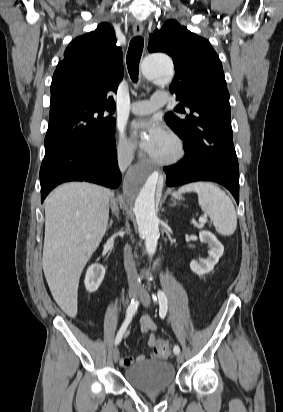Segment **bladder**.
<instances>
[{"label": "bladder", "instance_id": "1", "mask_svg": "<svg viewBox=\"0 0 283 412\" xmlns=\"http://www.w3.org/2000/svg\"><path fill=\"white\" fill-rule=\"evenodd\" d=\"M124 378L129 385L142 392H161L175 383L176 372L170 362L155 360L127 368Z\"/></svg>", "mask_w": 283, "mask_h": 412}]
</instances>
